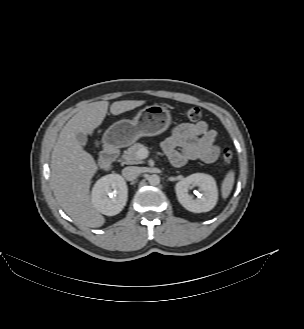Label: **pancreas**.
Instances as JSON below:
<instances>
[{
  "instance_id": "1",
  "label": "pancreas",
  "mask_w": 304,
  "mask_h": 329,
  "mask_svg": "<svg viewBox=\"0 0 304 329\" xmlns=\"http://www.w3.org/2000/svg\"><path fill=\"white\" fill-rule=\"evenodd\" d=\"M145 148L143 144L136 143L129 147L124 151L122 155V159L126 164H139L141 163V159L137 157V152L141 149Z\"/></svg>"
}]
</instances>
